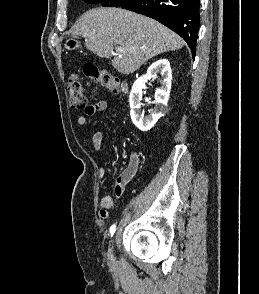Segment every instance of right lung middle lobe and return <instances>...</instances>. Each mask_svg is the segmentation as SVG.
<instances>
[{
	"mask_svg": "<svg viewBox=\"0 0 259 294\" xmlns=\"http://www.w3.org/2000/svg\"><path fill=\"white\" fill-rule=\"evenodd\" d=\"M84 1L90 4L104 3V6L121 7L129 0H84Z\"/></svg>",
	"mask_w": 259,
	"mask_h": 294,
	"instance_id": "obj_1",
	"label": "right lung middle lobe"
}]
</instances>
